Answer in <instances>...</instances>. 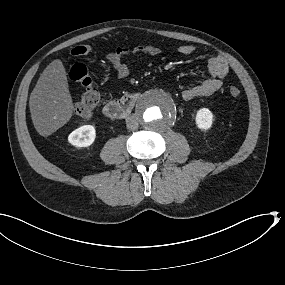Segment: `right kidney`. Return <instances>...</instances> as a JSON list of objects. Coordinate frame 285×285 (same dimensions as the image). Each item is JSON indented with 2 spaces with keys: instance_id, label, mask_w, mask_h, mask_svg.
I'll return each mask as SVG.
<instances>
[{
  "instance_id": "obj_1",
  "label": "right kidney",
  "mask_w": 285,
  "mask_h": 285,
  "mask_svg": "<svg viewBox=\"0 0 285 285\" xmlns=\"http://www.w3.org/2000/svg\"><path fill=\"white\" fill-rule=\"evenodd\" d=\"M96 139V129L93 125H83L68 135V142L78 148L90 147Z\"/></svg>"
}]
</instances>
